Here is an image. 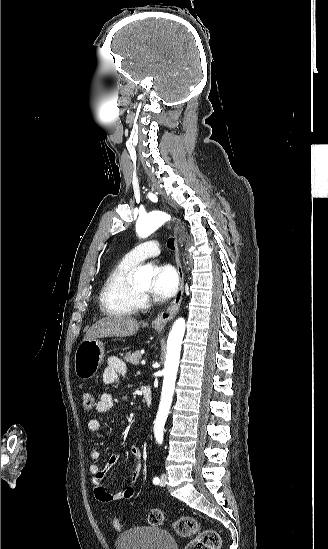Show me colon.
<instances>
[{"label": "colon", "mask_w": 328, "mask_h": 549, "mask_svg": "<svg viewBox=\"0 0 328 549\" xmlns=\"http://www.w3.org/2000/svg\"><path fill=\"white\" fill-rule=\"evenodd\" d=\"M83 409L91 412L95 407V398L91 393L82 396ZM150 525L160 526L165 521L164 513L159 509H153L147 514ZM112 526L116 531L122 529L119 519H112ZM174 532L183 538H191L185 549H219L221 539L217 531L209 528H201L197 519L190 516H181L172 523Z\"/></svg>", "instance_id": "obj_1"}]
</instances>
